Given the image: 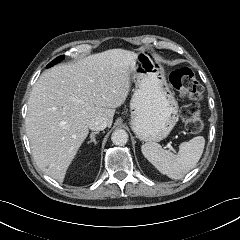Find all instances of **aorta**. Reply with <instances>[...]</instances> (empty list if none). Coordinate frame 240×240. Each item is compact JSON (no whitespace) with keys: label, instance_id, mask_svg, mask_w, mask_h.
<instances>
[{"label":"aorta","instance_id":"obj_1","mask_svg":"<svg viewBox=\"0 0 240 240\" xmlns=\"http://www.w3.org/2000/svg\"><path fill=\"white\" fill-rule=\"evenodd\" d=\"M111 140L117 146H124L128 142V133L123 129H117L112 133Z\"/></svg>","mask_w":240,"mask_h":240}]
</instances>
